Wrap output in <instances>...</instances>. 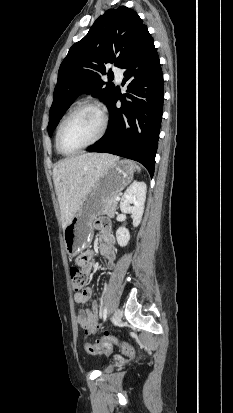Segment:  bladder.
<instances>
[{"instance_id": "31cf9c89", "label": "bladder", "mask_w": 233, "mask_h": 413, "mask_svg": "<svg viewBox=\"0 0 233 413\" xmlns=\"http://www.w3.org/2000/svg\"><path fill=\"white\" fill-rule=\"evenodd\" d=\"M113 368L114 367L112 365H110V366L106 367L104 371L105 372H111L113 370Z\"/></svg>"}]
</instances>
